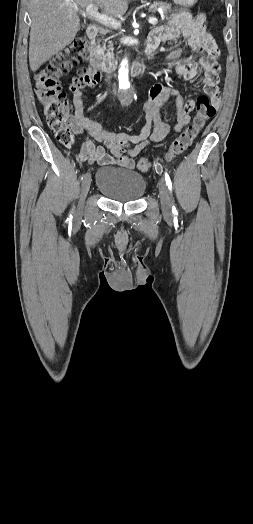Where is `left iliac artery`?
<instances>
[{
	"instance_id": "44dca946",
	"label": "left iliac artery",
	"mask_w": 253,
	"mask_h": 524,
	"mask_svg": "<svg viewBox=\"0 0 253 524\" xmlns=\"http://www.w3.org/2000/svg\"><path fill=\"white\" fill-rule=\"evenodd\" d=\"M165 181H166V184H167L169 190H171L172 189V183H171V179H170V177H169V175L167 173H165ZM172 212H173V214H177V209H176L175 206H173Z\"/></svg>"
}]
</instances>
